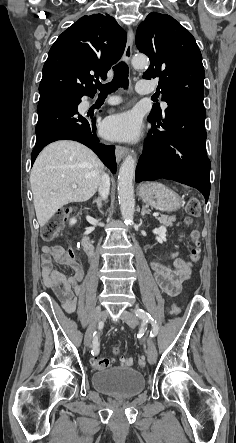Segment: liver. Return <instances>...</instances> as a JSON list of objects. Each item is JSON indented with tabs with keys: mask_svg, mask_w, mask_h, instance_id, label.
I'll return each mask as SVG.
<instances>
[{
	"mask_svg": "<svg viewBox=\"0 0 236 443\" xmlns=\"http://www.w3.org/2000/svg\"><path fill=\"white\" fill-rule=\"evenodd\" d=\"M102 174V162L78 142L62 140L45 147L30 174L40 227L64 205L89 200L97 191ZM73 184L78 188H72Z\"/></svg>",
	"mask_w": 236,
	"mask_h": 443,
	"instance_id": "1",
	"label": "liver"
}]
</instances>
